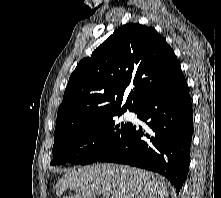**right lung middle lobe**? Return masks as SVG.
I'll return each instance as SVG.
<instances>
[{
    "instance_id": "obj_1",
    "label": "right lung middle lobe",
    "mask_w": 221,
    "mask_h": 198,
    "mask_svg": "<svg viewBox=\"0 0 221 198\" xmlns=\"http://www.w3.org/2000/svg\"><path fill=\"white\" fill-rule=\"evenodd\" d=\"M119 112L101 118L88 126L54 138L51 165L65 162L90 164L119 144L130 130L131 123H117L115 116Z\"/></svg>"
}]
</instances>
